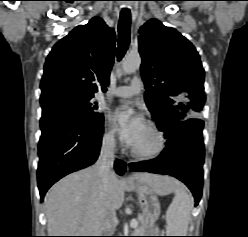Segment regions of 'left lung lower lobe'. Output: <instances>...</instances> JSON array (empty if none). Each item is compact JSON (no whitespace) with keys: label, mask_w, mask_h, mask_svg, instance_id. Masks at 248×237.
Here are the masks:
<instances>
[{"label":"left lung lower lobe","mask_w":248,"mask_h":237,"mask_svg":"<svg viewBox=\"0 0 248 237\" xmlns=\"http://www.w3.org/2000/svg\"><path fill=\"white\" fill-rule=\"evenodd\" d=\"M203 125L200 119L182 121L167 137L166 147L158 158L131 163L130 168L134 171L176 177L189 187L197 205L203 187Z\"/></svg>","instance_id":"left-lung-lower-lobe-1"}]
</instances>
